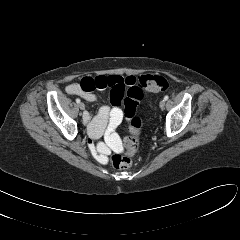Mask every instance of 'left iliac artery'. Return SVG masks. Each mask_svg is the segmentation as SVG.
Segmentation results:
<instances>
[{"label": "left iliac artery", "instance_id": "left-iliac-artery-1", "mask_svg": "<svg viewBox=\"0 0 240 240\" xmlns=\"http://www.w3.org/2000/svg\"><path fill=\"white\" fill-rule=\"evenodd\" d=\"M168 99H169V96L166 95V96L164 97V100L167 101Z\"/></svg>", "mask_w": 240, "mask_h": 240}]
</instances>
